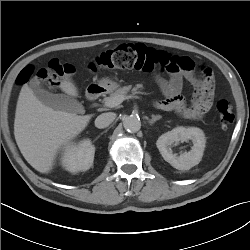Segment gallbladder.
<instances>
[{"label": "gallbladder", "mask_w": 250, "mask_h": 250, "mask_svg": "<svg viewBox=\"0 0 250 250\" xmlns=\"http://www.w3.org/2000/svg\"><path fill=\"white\" fill-rule=\"evenodd\" d=\"M30 87L35 96L46 106L54 110L66 111L70 113H82L83 105L76 99L65 94H53L40 86L39 80L35 77L30 81Z\"/></svg>", "instance_id": "obj_1"}]
</instances>
